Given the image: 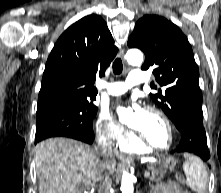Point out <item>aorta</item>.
Instances as JSON below:
<instances>
[{"label": "aorta", "mask_w": 221, "mask_h": 193, "mask_svg": "<svg viewBox=\"0 0 221 193\" xmlns=\"http://www.w3.org/2000/svg\"><path fill=\"white\" fill-rule=\"evenodd\" d=\"M127 62L132 66H140L143 62V53L138 49H131L126 54ZM117 113L119 120L122 121L123 118L131 113L130 109L124 107H118ZM121 191L122 193H133V177L128 172L124 171L121 177Z\"/></svg>", "instance_id": "762f6f07"}]
</instances>
